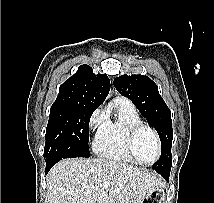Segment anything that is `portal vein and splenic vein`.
Instances as JSON below:
<instances>
[{"mask_svg": "<svg viewBox=\"0 0 214 203\" xmlns=\"http://www.w3.org/2000/svg\"><path fill=\"white\" fill-rule=\"evenodd\" d=\"M109 186H110V183H109V182H107V181L103 182V187H104V188L108 189Z\"/></svg>", "mask_w": 214, "mask_h": 203, "instance_id": "18ae733b", "label": "portal vein and splenic vein"}]
</instances>
